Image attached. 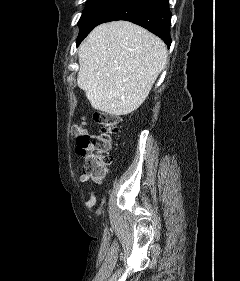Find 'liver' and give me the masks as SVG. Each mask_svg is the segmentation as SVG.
I'll return each instance as SVG.
<instances>
[{
	"label": "liver",
	"instance_id": "6515ba94",
	"mask_svg": "<svg viewBox=\"0 0 240 281\" xmlns=\"http://www.w3.org/2000/svg\"><path fill=\"white\" fill-rule=\"evenodd\" d=\"M78 87L96 110L121 116L135 111L149 95L167 63L165 43L128 21L94 28L78 51Z\"/></svg>",
	"mask_w": 240,
	"mask_h": 281
}]
</instances>
